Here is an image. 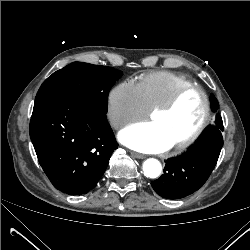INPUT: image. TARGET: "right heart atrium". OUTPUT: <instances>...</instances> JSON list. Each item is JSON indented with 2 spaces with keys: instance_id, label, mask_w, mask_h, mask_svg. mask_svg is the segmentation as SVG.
<instances>
[{
  "instance_id": "obj_1",
  "label": "right heart atrium",
  "mask_w": 250,
  "mask_h": 250,
  "mask_svg": "<svg viewBox=\"0 0 250 250\" xmlns=\"http://www.w3.org/2000/svg\"><path fill=\"white\" fill-rule=\"evenodd\" d=\"M147 108L143 103L137 85L125 80L115 85L107 95V117L115 130L143 118Z\"/></svg>"
}]
</instances>
